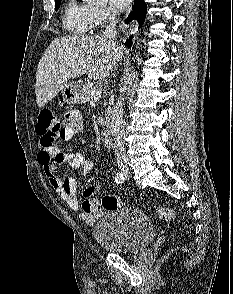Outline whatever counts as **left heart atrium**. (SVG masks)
Masks as SVG:
<instances>
[{"instance_id": "obj_1", "label": "left heart atrium", "mask_w": 233, "mask_h": 294, "mask_svg": "<svg viewBox=\"0 0 233 294\" xmlns=\"http://www.w3.org/2000/svg\"><path fill=\"white\" fill-rule=\"evenodd\" d=\"M110 1L114 7L121 10L127 8L132 2V0H110Z\"/></svg>"}]
</instances>
